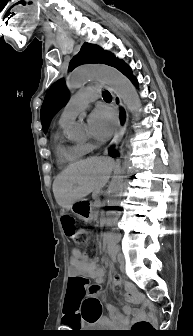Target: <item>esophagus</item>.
Returning <instances> with one entry per match:
<instances>
[{
    "mask_svg": "<svg viewBox=\"0 0 193 336\" xmlns=\"http://www.w3.org/2000/svg\"><path fill=\"white\" fill-rule=\"evenodd\" d=\"M105 87L110 91L113 98L112 104L119 114L120 109L123 107L121 100L117 97L113 89H111L106 85ZM124 132H125V125H122L120 122H118L113 139L110 142V146H117L119 142L122 140ZM105 153H107V150L105 151Z\"/></svg>",
    "mask_w": 193,
    "mask_h": 336,
    "instance_id": "esophagus-1",
    "label": "esophagus"
}]
</instances>
